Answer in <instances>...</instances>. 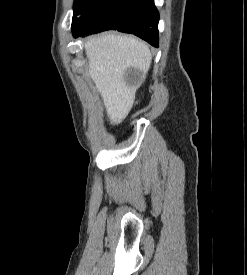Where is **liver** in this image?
<instances>
[{
    "label": "liver",
    "mask_w": 247,
    "mask_h": 275,
    "mask_svg": "<svg viewBox=\"0 0 247 275\" xmlns=\"http://www.w3.org/2000/svg\"><path fill=\"white\" fill-rule=\"evenodd\" d=\"M89 73L103 99L111 124H120L130 112L139 86L124 79L135 68L144 80L152 61L149 46L134 37L116 34L92 36L85 42Z\"/></svg>",
    "instance_id": "6515ba94"
}]
</instances>
